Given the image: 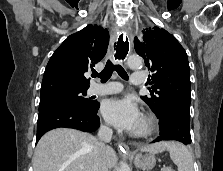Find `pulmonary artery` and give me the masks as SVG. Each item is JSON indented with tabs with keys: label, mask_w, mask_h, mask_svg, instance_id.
<instances>
[{
	"label": "pulmonary artery",
	"mask_w": 223,
	"mask_h": 171,
	"mask_svg": "<svg viewBox=\"0 0 223 171\" xmlns=\"http://www.w3.org/2000/svg\"><path fill=\"white\" fill-rule=\"evenodd\" d=\"M145 81L144 74L142 72H134L131 76V82L134 85H141ZM122 90L121 84L117 82H110L106 84H93L89 88L91 95H110L119 93Z\"/></svg>",
	"instance_id": "obj_1"
}]
</instances>
